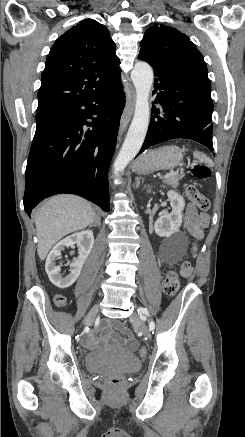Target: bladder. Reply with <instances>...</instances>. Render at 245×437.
<instances>
[{"label": "bladder", "instance_id": "1", "mask_svg": "<svg viewBox=\"0 0 245 437\" xmlns=\"http://www.w3.org/2000/svg\"><path fill=\"white\" fill-rule=\"evenodd\" d=\"M88 371L93 373H130L138 370L140 360L131 352L119 348H102L84 357Z\"/></svg>", "mask_w": 245, "mask_h": 437}]
</instances>
